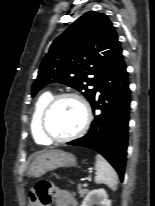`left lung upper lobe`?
Instances as JSON below:
<instances>
[{"instance_id":"left-lung-upper-lobe-1","label":"left lung upper lobe","mask_w":155,"mask_h":206,"mask_svg":"<svg viewBox=\"0 0 155 206\" xmlns=\"http://www.w3.org/2000/svg\"><path fill=\"white\" fill-rule=\"evenodd\" d=\"M121 54L109 18L89 11L54 40L32 85V96L46 84L57 82L77 89L91 102L103 77Z\"/></svg>"}]
</instances>
